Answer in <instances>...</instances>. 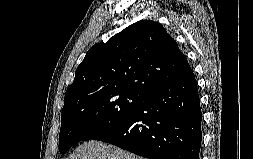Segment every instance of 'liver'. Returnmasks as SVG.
I'll use <instances>...</instances> for the list:
<instances>
[{
	"label": "liver",
	"instance_id": "1",
	"mask_svg": "<svg viewBox=\"0 0 253 159\" xmlns=\"http://www.w3.org/2000/svg\"><path fill=\"white\" fill-rule=\"evenodd\" d=\"M67 159H144L133 153L106 144L91 140L80 145Z\"/></svg>",
	"mask_w": 253,
	"mask_h": 159
}]
</instances>
